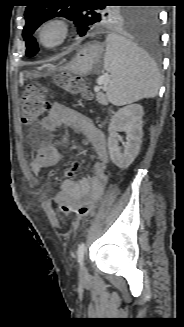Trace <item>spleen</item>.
I'll list each match as a JSON object with an SVG mask.
<instances>
[{"mask_svg": "<svg viewBox=\"0 0 184 327\" xmlns=\"http://www.w3.org/2000/svg\"><path fill=\"white\" fill-rule=\"evenodd\" d=\"M104 69L110 73L107 98L121 106L153 98L160 87V73L152 59L135 43L111 33L106 38Z\"/></svg>", "mask_w": 184, "mask_h": 327, "instance_id": "spleen-1", "label": "spleen"}]
</instances>
